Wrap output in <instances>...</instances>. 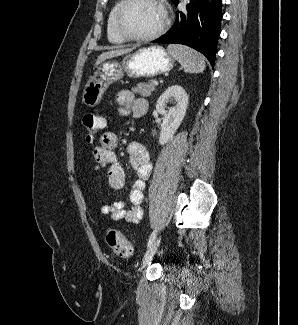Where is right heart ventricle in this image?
I'll return each mask as SVG.
<instances>
[{"label":"right heart ventricle","mask_w":298,"mask_h":325,"mask_svg":"<svg viewBox=\"0 0 298 325\" xmlns=\"http://www.w3.org/2000/svg\"><path fill=\"white\" fill-rule=\"evenodd\" d=\"M122 3H123L122 1L116 2L111 8L107 17V24H106L107 38L108 41L114 46H122L127 42L124 39H122L114 29V19Z\"/></svg>","instance_id":"right-heart-ventricle-1"}]
</instances>
